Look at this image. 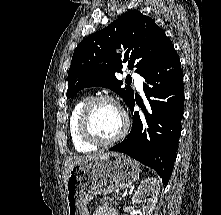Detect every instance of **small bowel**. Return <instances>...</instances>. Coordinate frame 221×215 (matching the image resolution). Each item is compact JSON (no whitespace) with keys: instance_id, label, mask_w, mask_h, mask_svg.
Masks as SVG:
<instances>
[{"instance_id":"small-bowel-1","label":"small bowel","mask_w":221,"mask_h":215,"mask_svg":"<svg viewBox=\"0 0 221 215\" xmlns=\"http://www.w3.org/2000/svg\"><path fill=\"white\" fill-rule=\"evenodd\" d=\"M93 215H117V212L110 207H99L94 211Z\"/></svg>"}]
</instances>
